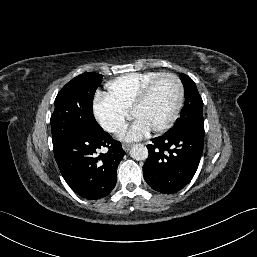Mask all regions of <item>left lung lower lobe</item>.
Wrapping results in <instances>:
<instances>
[{
    "instance_id": "0a47b994",
    "label": "left lung lower lobe",
    "mask_w": 257,
    "mask_h": 257,
    "mask_svg": "<svg viewBox=\"0 0 257 257\" xmlns=\"http://www.w3.org/2000/svg\"><path fill=\"white\" fill-rule=\"evenodd\" d=\"M204 129L189 128L152 139L143 166L145 181L154 190L172 194L193 178L203 151Z\"/></svg>"
}]
</instances>
